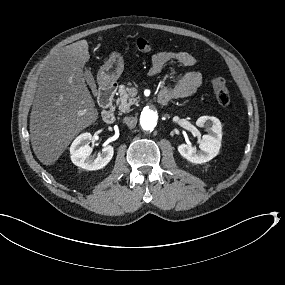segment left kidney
<instances>
[{
  "label": "left kidney",
  "mask_w": 285,
  "mask_h": 285,
  "mask_svg": "<svg viewBox=\"0 0 285 285\" xmlns=\"http://www.w3.org/2000/svg\"><path fill=\"white\" fill-rule=\"evenodd\" d=\"M208 124L210 133L203 135L200 140V151H196L194 147L189 144H181L178 146V151L188 161L196 164H201L210 161L218 155L221 140H222V125L218 118L213 116H201L197 119L196 125L204 127Z\"/></svg>",
  "instance_id": "5707ae66"
}]
</instances>
